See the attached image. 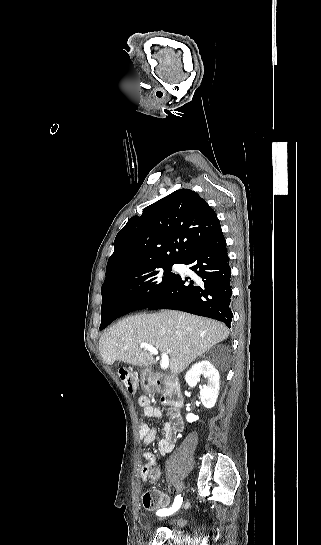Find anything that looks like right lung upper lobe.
Here are the masks:
<instances>
[{"label": "right lung upper lobe", "instance_id": "cb5924a9", "mask_svg": "<svg viewBox=\"0 0 321 545\" xmlns=\"http://www.w3.org/2000/svg\"><path fill=\"white\" fill-rule=\"evenodd\" d=\"M215 211L197 193L179 189L133 216L114 240L101 289L161 264L182 263L220 228Z\"/></svg>", "mask_w": 321, "mask_h": 545}]
</instances>
